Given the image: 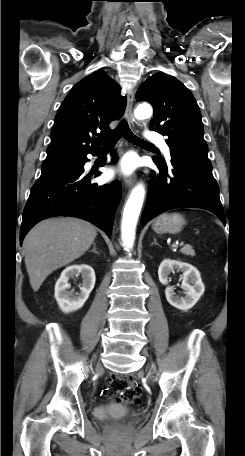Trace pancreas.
I'll return each mask as SVG.
<instances>
[{"instance_id": "cf45deb5", "label": "pancreas", "mask_w": 245, "mask_h": 456, "mask_svg": "<svg viewBox=\"0 0 245 456\" xmlns=\"http://www.w3.org/2000/svg\"><path fill=\"white\" fill-rule=\"evenodd\" d=\"M180 252L191 257L195 256V251L190 245H185L183 248L180 249Z\"/></svg>"}]
</instances>
